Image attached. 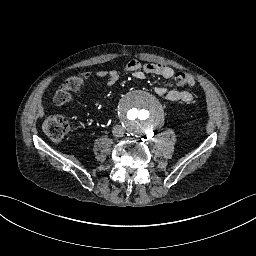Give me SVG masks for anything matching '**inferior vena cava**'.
Wrapping results in <instances>:
<instances>
[{"instance_id": "obj_1", "label": "inferior vena cava", "mask_w": 256, "mask_h": 256, "mask_svg": "<svg viewBox=\"0 0 256 256\" xmlns=\"http://www.w3.org/2000/svg\"><path fill=\"white\" fill-rule=\"evenodd\" d=\"M124 128L121 125H115L113 127V135L117 137H122L124 134Z\"/></svg>"}]
</instances>
